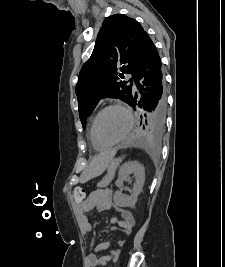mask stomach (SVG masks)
<instances>
[{
    "label": "stomach",
    "mask_w": 225,
    "mask_h": 267,
    "mask_svg": "<svg viewBox=\"0 0 225 267\" xmlns=\"http://www.w3.org/2000/svg\"><path fill=\"white\" fill-rule=\"evenodd\" d=\"M111 161H113V154L111 153H102L97 156L90 165L89 177L92 178L102 174Z\"/></svg>",
    "instance_id": "1"
}]
</instances>
